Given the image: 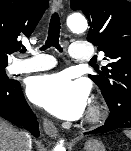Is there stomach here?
<instances>
[{
    "label": "stomach",
    "instance_id": "0dacf381",
    "mask_svg": "<svg viewBox=\"0 0 131 151\" xmlns=\"http://www.w3.org/2000/svg\"><path fill=\"white\" fill-rule=\"evenodd\" d=\"M84 149L85 151H105V146L97 139H90L86 141Z\"/></svg>",
    "mask_w": 131,
    "mask_h": 151
}]
</instances>
